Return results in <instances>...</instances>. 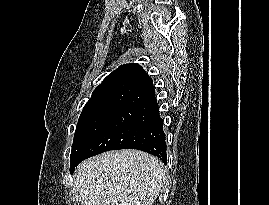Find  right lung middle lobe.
Returning <instances> with one entry per match:
<instances>
[{
	"mask_svg": "<svg viewBox=\"0 0 269 205\" xmlns=\"http://www.w3.org/2000/svg\"><path fill=\"white\" fill-rule=\"evenodd\" d=\"M126 107L118 105H97L84 107L78 120L70 156V172L83 147L116 115Z\"/></svg>",
	"mask_w": 269,
	"mask_h": 205,
	"instance_id": "obj_1",
	"label": "right lung middle lobe"
}]
</instances>
